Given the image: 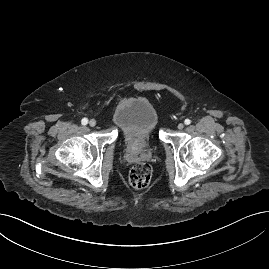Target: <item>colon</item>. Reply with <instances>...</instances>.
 I'll return each instance as SVG.
<instances>
[{"instance_id":"5ec220e1","label":"colon","mask_w":269,"mask_h":269,"mask_svg":"<svg viewBox=\"0 0 269 269\" xmlns=\"http://www.w3.org/2000/svg\"><path fill=\"white\" fill-rule=\"evenodd\" d=\"M152 179V168L148 163H139L129 173L130 185L136 189L146 188Z\"/></svg>"}]
</instances>
